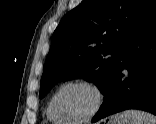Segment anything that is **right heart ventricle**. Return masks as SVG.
I'll use <instances>...</instances> for the list:
<instances>
[{
    "instance_id": "obj_1",
    "label": "right heart ventricle",
    "mask_w": 156,
    "mask_h": 124,
    "mask_svg": "<svg viewBox=\"0 0 156 124\" xmlns=\"http://www.w3.org/2000/svg\"><path fill=\"white\" fill-rule=\"evenodd\" d=\"M46 116L48 118V120L54 124H66L65 122H63L61 119L56 118L50 109V101L48 103L47 109H46Z\"/></svg>"
}]
</instances>
